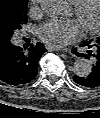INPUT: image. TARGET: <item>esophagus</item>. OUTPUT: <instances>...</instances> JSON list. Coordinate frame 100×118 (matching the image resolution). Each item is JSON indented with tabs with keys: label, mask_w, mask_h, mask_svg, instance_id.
Wrapping results in <instances>:
<instances>
[{
	"label": "esophagus",
	"mask_w": 100,
	"mask_h": 118,
	"mask_svg": "<svg viewBox=\"0 0 100 118\" xmlns=\"http://www.w3.org/2000/svg\"><path fill=\"white\" fill-rule=\"evenodd\" d=\"M45 48L48 50V51H59V49H57V48H53V47H51V46H49V45H45ZM63 52H68V53H71L69 50H67V49H64V50H62Z\"/></svg>",
	"instance_id": "34e87169"
}]
</instances>
